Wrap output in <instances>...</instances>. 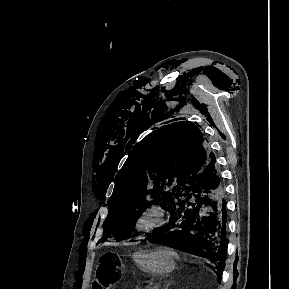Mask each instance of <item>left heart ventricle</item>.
Returning <instances> with one entry per match:
<instances>
[{"label":"left heart ventricle","mask_w":289,"mask_h":289,"mask_svg":"<svg viewBox=\"0 0 289 289\" xmlns=\"http://www.w3.org/2000/svg\"><path fill=\"white\" fill-rule=\"evenodd\" d=\"M153 221H154L153 217H148V218H146L145 220L142 221V225L143 226H147V225L151 224Z\"/></svg>","instance_id":"left-heart-ventricle-1"}]
</instances>
